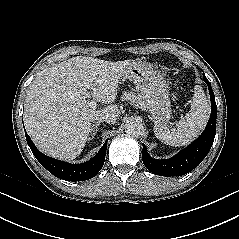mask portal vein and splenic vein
I'll list each match as a JSON object with an SVG mask.
<instances>
[{"label":"portal vein and splenic vein","instance_id":"1","mask_svg":"<svg viewBox=\"0 0 239 239\" xmlns=\"http://www.w3.org/2000/svg\"><path fill=\"white\" fill-rule=\"evenodd\" d=\"M87 88L90 87L89 83H84ZM90 107L96 108V103L94 101L89 102Z\"/></svg>","mask_w":239,"mask_h":239}]
</instances>
